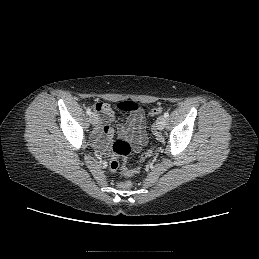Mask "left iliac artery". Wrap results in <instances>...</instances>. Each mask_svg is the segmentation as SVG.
<instances>
[{"label":"left iliac artery","mask_w":259,"mask_h":259,"mask_svg":"<svg viewBox=\"0 0 259 259\" xmlns=\"http://www.w3.org/2000/svg\"><path fill=\"white\" fill-rule=\"evenodd\" d=\"M164 117H165V118H168V117H169V113H168V112H165V113H164Z\"/></svg>","instance_id":"44dca946"}]
</instances>
